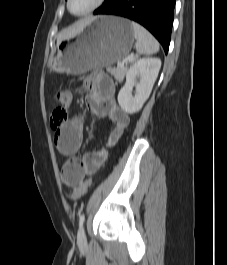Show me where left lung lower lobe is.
Returning <instances> with one entry per match:
<instances>
[{"mask_svg":"<svg viewBox=\"0 0 227 265\" xmlns=\"http://www.w3.org/2000/svg\"><path fill=\"white\" fill-rule=\"evenodd\" d=\"M176 0H108L94 15L112 14L134 20L147 28L168 52Z\"/></svg>","mask_w":227,"mask_h":265,"instance_id":"obj_1","label":"left lung lower lobe"}]
</instances>
